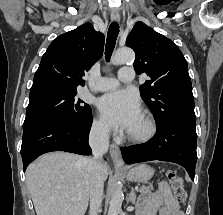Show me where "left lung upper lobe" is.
<instances>
[{"label":"left lung upper lobe","mask_w":223,"mask_h":215,"mask_svg":"<svg viewBox=\"0 0 223 215\" xmlns=\"http://www.w3.org/2000/svg\"><path fill=\"white\" fill-rule=\"evenodd\" d=\"M126 45L136 53V73L151 78L140 86V94L157 127L172 122L196 124L188 65L177 45L142 22L135 24Z\"/></svg>","instance_id":"5c2ea615"}]
</instances>
